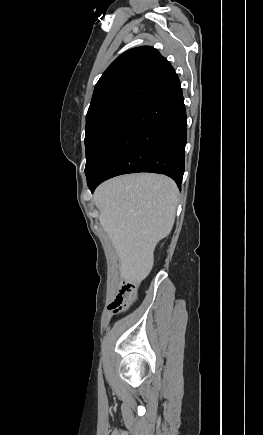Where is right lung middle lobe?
<instances>
[{
	"instance_id": "1",
	"label": "right lung middle lobe",
	"mask_w": 263,
	"mask_h": 435,
	"mask_svg": "<svg viewBox=\"0 0 263 435\" xmlns=\"http://www.w3.org/2000/svg\"><path fill=\"white\" fill-rule=\"evenodd\" d=\"M142 106L143 103L140 102L119 101L98 106L86 117L85 174L87 180L95 175L116 141Z\"/></svg>"
}]
</instances>
